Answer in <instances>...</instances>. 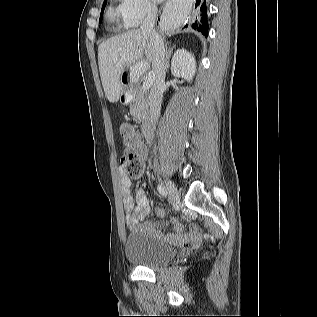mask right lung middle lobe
Returning <instances> with one entry per match:
<instances>
[{
  "label": "right lung middle lobe",
  "mask_w": 317,
  "mask_h": 317,
  "mask_svg": "<svg viewBox=\"0 0 317 317\" xmlns=\"http://www.w3.org/2000/svg\"><path fill=\"white\" fill-rule=\"evenodd\" d=\"M106 1H107V0H104V4H103V6H102V10H101V15H100V20H99V22H101V18H102L103 10H104L105 5H106Z\"/></svg>",
  "instance_id": "right-lung-middle-lobe-1"
}]
</instances>
